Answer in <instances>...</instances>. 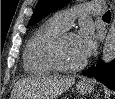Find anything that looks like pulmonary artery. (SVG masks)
I'll list each match as a JSON object with an SVG mask.
<instances>
[{"label":"pulmonary artery","instance_id":"pulmonary-artery-1","mask_svg":"<svg viewBox=\"0 0 115 99\" xmlns=\"http://www.w3.org/2000/svg\"><path fill=\"white\" fill-rule=\"evenodd\" d=\"M104 9L105 8L103 1H92L79 8L59 11L54 14L51 20L56 24H58L59 26L63 27L64 29H68L77 15L80 14L98 15L104 12Z\"/></svg>","mask_w":115,"mask_h":99}]
</instances>
